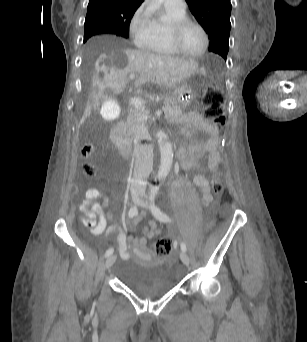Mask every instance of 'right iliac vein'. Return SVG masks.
<instances>
[{
    "label": "right iliac vein",
    "instance_id": "obj_1",
    "mask_svg": "<svg viewBox=\"0 0 307 342\" xmlns=\"http://www.w3.org/2000/svg\"><path fill=\"white\" fill-rule=\"evenodd\" d=\"M134 203H139L140 199L138 197L133 199ZM116 260V254L110 255L105 262V269H109Z\"/></svg>",
    "mask_w": 307,
    "mask_h": 342
}]
</instances>
